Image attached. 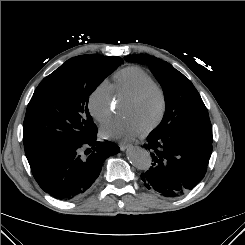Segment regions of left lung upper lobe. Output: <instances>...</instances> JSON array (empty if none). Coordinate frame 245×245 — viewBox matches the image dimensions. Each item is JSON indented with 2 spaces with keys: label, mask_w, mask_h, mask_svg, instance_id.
Returning a JSON list of instances; mask_svg holds the SVG:
<instances>
[{
  "label": "left lung upper lobe",
  "mask_w": 245,
  "mask_h": 245,
  "mask_svg": "<svg viewBox=\"0 0 245 245\" xmlns=\"http://www.w3.org/2000/svg\"><path fill=\"white\" fill-rule=\"evenodd\" d=\"M128 62L148 64L163 88L166 112L156 133L190 132L213 140L208 110L198 91L182 73L171 64L155 56L137 54L126 56Z\"/></svg>",
  "instance_id": "left-lung-upper-lobe-1"
}]
</instances>
